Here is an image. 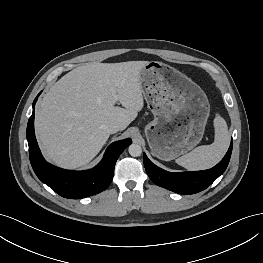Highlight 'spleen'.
<instances>
[{
  "instance_id": "3e777b00",
  "label": "spleen",
  "mask_w": 263,
  "mask_h": 263,
  "mask_svg": "<svg viewBox=\"0 0 263 263\" xmlns=\"http://www.w3.org/2000/svg\"><path fill=\"white\" fill-rule=\"evenodd\" d=\"M215 138L210 145L196 147L176 159V163L188 170H204L215 166L225 155L229 146L226 121L219 115L214 118Z\"/></svg>"
}]
</instances>
